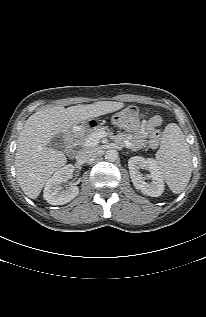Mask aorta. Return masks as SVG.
Here are the masks:
<instances>
[{"mask_svg":"<svg viewBox=\"0 0 206 317\" xmlns=\"http://www.w3.org/2000/svg\"><path fill=\"white\" fill-rule=\"evenodd\" d=\"M119 154L116 149H109L105 153V159L111 162H114L118 159Z\"/></svg>","mask_w":206,"mask_h":317,"instance_id":"762f6f07","label":"aorta"}]
</instances>
